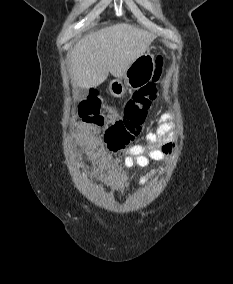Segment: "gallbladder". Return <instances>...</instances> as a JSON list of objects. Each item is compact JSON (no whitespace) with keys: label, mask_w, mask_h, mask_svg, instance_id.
<instances>
[{"label":"gallbladder","mask_w":233,"mask_h":284,"mask_svg":"<svg viewBox=\"0 0 233 284\" xmlns=\"http://www.w3.org/2000/svg\"><path fill=\"white\" fill-rule=\"evenodd\" d=\"M87 95H88V92L86 89L80 90L78 93V99L83 100L87 97Z\"/></svg>","instance_id":"1"}]
</instances>
